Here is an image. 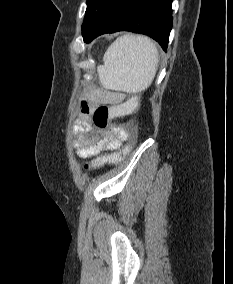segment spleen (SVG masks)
I'll use <instances>...</instances> for the list:
<instances>
[{"label":"spleen","instance_id":"obj_1","mask_svg":"<svg viewBox=\"0 0 233 284\" xmlns=\"http://www.w3.org/2000/svg\"><path fill=\"white\" fill-rule=\"evenodd\" d=\"M97 67L100 84L110 90L140 93L152 83L158 69L156 45L141 35L126 34L117 38Z\"/></svg>","mask_w":233,"mask_h":284}]
</instances>
